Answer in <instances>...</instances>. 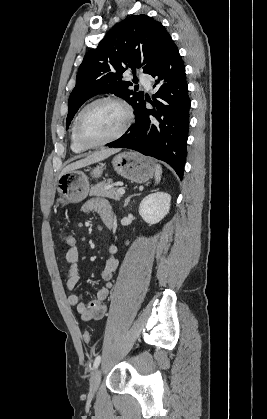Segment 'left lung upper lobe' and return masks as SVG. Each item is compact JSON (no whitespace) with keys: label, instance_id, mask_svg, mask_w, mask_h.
Segmentation results:
<instances>
[{"label":"left lung upper lobe","instance_id":"1","mask_svg":"<svg viewBox=\"0 0 267 419\" xmlns=\"http://www.w3.org/2000/svg\"><path fill=\"white\" fill-rule=\"evenodd\" d=\"M170 40L165 27L147 15L129 16L116 24L97 48L88 51L79 67L69 98L66 128L80 106L97 94L113 93L135 109L144 93L130 90L132 83L122 79L123 73H135L138 68L149 73Z\"/></svg>","mask_w":267,"mask_h":419}]
</instances>
